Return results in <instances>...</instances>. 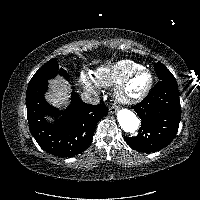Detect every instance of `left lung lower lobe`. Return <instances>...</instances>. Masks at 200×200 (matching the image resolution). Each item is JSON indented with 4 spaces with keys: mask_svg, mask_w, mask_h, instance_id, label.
I'll use <instances>...</instances> for the list:
<instances>
[{
    "mask_svg": "<svg viewBox=\"0 0 200 200\" xmlns=\"http://www.w3.org/2000/svg\"><path fill=\"white\" fill-rule=\"evenodd\" d=\"M132 108L141 119V127L137 136L125 137L131 148L139 152H154L175 138L181 119L176 80H161L141 103Z\"/></svg>",
    "mask_w": 200,
    "mask_h": 200,
    "instance_id": "obj_1",
    "label": "left lung lower lobe"
}]
</instances>
